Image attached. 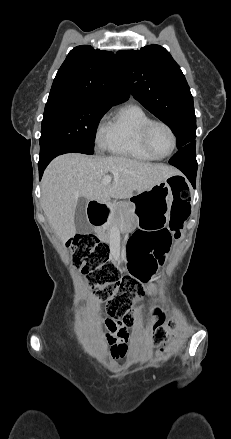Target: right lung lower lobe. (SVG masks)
Masks as SVG:
<instances>
[{
    "instance_id": "98d812e1",
    "label": "right lung lower lobe",
    "mask_w": 231,
    "mask_h": 439,
    "mask_svg": "<svg viewBox=\"0 0 231 439\" xmlns=\"http://www.w3.org/2000/svg\"><path fill=\"white\" fill-rule=\"evenodd\" d=\"M75 150L71 149V148H61L59 149L55 154L44 158V159H40L39 163H38V168H39V177L41 179L43 172L45 170V168L47 167V165L50 163V161L52 159H54L56 156L64 154V153H71L74 152Z\"/></svg>"
}]
</instances>
